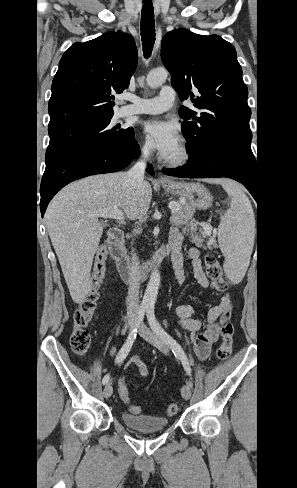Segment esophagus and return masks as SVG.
<instances>
[{
	"label": "esophagus",
	"mask_w": 297,
	"mask_h": 488,
	"mask_svg": "<svg viewBox=\"0 0 297 488\" xmlns=\"http://www.w3.org/2000/svg\"><path fill=\"white\" fill-rule=\"evenodd\" d=\"M158 180H159V182H161L164 185L171 184V180H169L168 178L163 177V176H159Z\"/></svg>",
	"instance_id": "obj_1"
}]
</instances>
